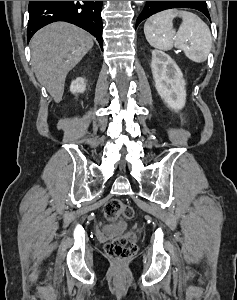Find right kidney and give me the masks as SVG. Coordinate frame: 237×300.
<instances>
[{
	"label": "right kidney",
	"mask_w": 237,
	"mask_h": 300,
	"mask_svg": "<svg viewBox=\"0 0 237 300\" xmlns=\"http://www.w3.org/2000/svg\"><path fill=\"white\" fill-rule=\"evenodd\" d=\"M86 89L85 81L82 77H78L75 81H72L70 85L71 93H84Z\"/></svg>",
	"instance_id": "right-kidney-1"
}]
</instances>
